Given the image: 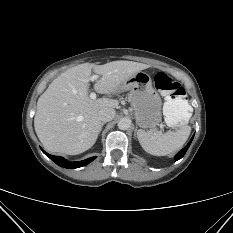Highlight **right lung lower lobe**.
Instances as JSON below:
<instances>
[{
    "mask_svg": "<svg viewBox=\"0 0 233 233\" xmlns=\"http://www.w3.org/2000/svg\"><path fill=\"white\" fill-rule=\"evenodd\" d=\"M43 152L51 160H53L56 164H58L59 166L65 167V168H70V169H74V168H79V167L85 166V165L89 164L91 161H93L96 158V156H94V157H91V158H88L86 160L79 161V162H69V161L65 160L64 158H62V157L50 155V154L46 153L45 151H43Z\"/></svg>",
    "mask_w": 233,
    "mask_h": 233,
    "instance_id": "98d812e1",
    "label": "right lung lower lobe"
}]
</instances>
